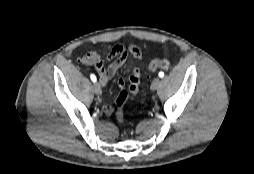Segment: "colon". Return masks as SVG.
Returning <instances> with one entry per match:
<instances>
[{
  "mask_svg": "<svg viewBox=\"0 0 254 174\" xmlns=\"http://www.w3.org/2000/svg\"><path fill=\"white\" fill-rule=\"evenodd\" d=\"M170 66H171V63L167 59H153L149 62L148 69L150 71H156L159 69H168L170 68ZM130 93H132L131 87L123 88L120 91L119 96L116 100V120L121 124L125 123L123 108H124L126 99Z\"/></svg>",
  "mask_w": 254,
  "mask_h": 174,
  "instance_id": "obj_1",
  "label": "colon"
}]
</instances>
